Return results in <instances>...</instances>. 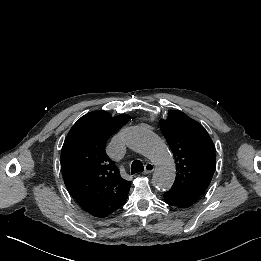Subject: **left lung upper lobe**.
Wrapping results in <instances>:
<instances>
[{
  "label": "left lung upper lobe",
  "mask_w": 261,
  "mask_h": 261,
  "mask_svg": "<svg viewBox=\"0 0 261 261\" xmlns=\"http://www.w3.org/2000/svg\"><path fill=\"white\" fill-rule=\"evenodd\" d=\"M160 126L176 161L172 189L199 198L211 182L216 166L214 144L202 125L180 111L170 110Z\"/></svg>",
  "instance_id": "1"
}]
</instances>
